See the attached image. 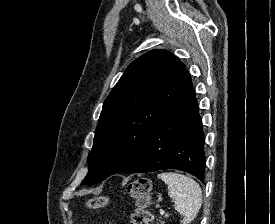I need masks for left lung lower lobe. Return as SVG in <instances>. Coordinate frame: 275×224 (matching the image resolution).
Instances as JSON below:
<instances>
[{"label": "left lung lower lobe", "mask_w": 275, "mask_h": 224, "mask_svg": "<svg viewBox=\"0 0 275 224\" xmlns=\"http://www.w3.org/2000/svg\"><path fill=\"white\" fill-rule=\"evenodd\" d=\"M204 142L202 120L191 86L156 125L127 172L178 169L203 182Z\"/></svg>", "instance_id": "obj_1"}]
</instances>
